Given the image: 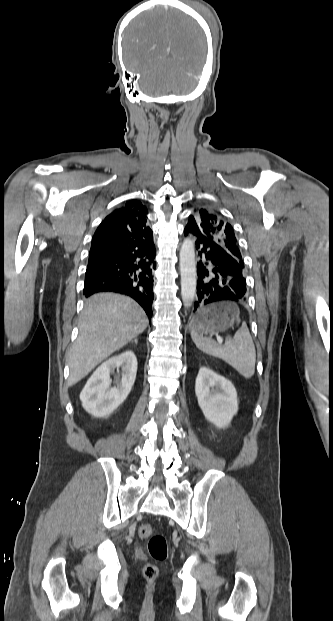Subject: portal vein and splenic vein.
<instances>
[{"label":"portal vein and splenic vein","mask_w":333,"mask_h":621,"mask_svg":"<svg viewBox=\"0 0 333 621\" xmlns=\"http://www.w3.org/2000/svg\"><path fill=\"white\" fill-rule=\"evenodd\" d=\"M217 340H218V342H219L220 344H222V343H223V339H222V338H217Z\"/></svg>","instance_id":"obj_1"}]
</instances>
